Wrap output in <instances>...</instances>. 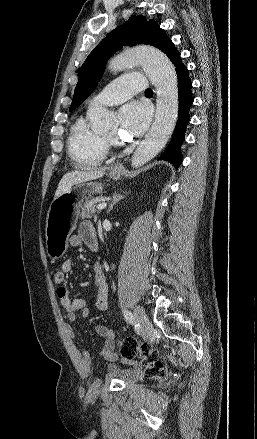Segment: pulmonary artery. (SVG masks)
Here are the masks:
<instances>
[{
	"label": "pulmonary artery",
	"mask_w": 257,
	"mask_h": 439,
	"mask_svg": "<svg viewBox=\"0 0 257 439\" xmlns=\"http://www.w3.org/2000/svg\"><path fill=\"white\" fill-rule=\"evenodd\" d=\"M146 87L147 81L143 74L129 73L108 84L91 99L90 104L117 105L133 94L145 91Z\"/></svg>",
	"instance_id": "obj_1"
}]
</instances>
